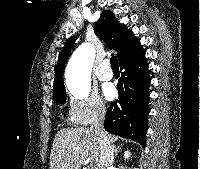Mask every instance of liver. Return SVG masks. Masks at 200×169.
<instances>
[{
	"label": "liver",
	"mask_w": 200,
	"mask_h": 169,
	"mask_svg": "<svg viewBox=\"0 0 200 169\" xmlns=\"http://www.w3.org/2000/svg\"><path fill=\"white\" fill-rule=\"evenodd\" d=\"M115 142L117 137L109 135ZM100 157L98 137L89 128H63L52 143L49 169H81L89 161L97 164Z\"/></svg>",
	"instance_id": "obj_1"
}]
</instances>
